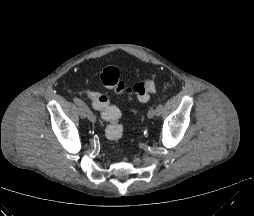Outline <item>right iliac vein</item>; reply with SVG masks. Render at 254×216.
I'll use <instances>...</instances> for the list:
<instances>
[{"label": "right iliac vein", "instance_id": "obj_1", "mask_svg": "<svg viewBox=\"0 0 254 216\" xmlns=\"http://www.w3.org/2000/svg\"><path fill=\"white\" fill-rule=\"evenodd\" d=\"M78 114H79V117H80L81 119H86V118H88V117H87V113L85 112V110L82 109V108H80V107H78Z\"/></svg>", "mask_w": 254, "mask_h": 216}]
</instances>
